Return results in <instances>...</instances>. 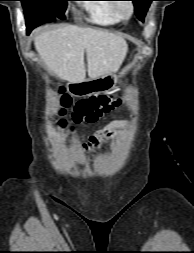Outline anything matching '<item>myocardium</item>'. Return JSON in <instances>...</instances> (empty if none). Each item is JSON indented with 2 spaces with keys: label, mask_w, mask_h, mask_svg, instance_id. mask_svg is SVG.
I'll return each instance as SVG.
<instances>
[{
  "label": "myocardium",
  "mask_w": 194,
  "mask_h": 253,
  "mask_svg": "<svg viewBox=\"0 0 194 253\" xmlns=\"http://www.w3.org/2000/svg\"><path fill=\"white\" fill-rule=\"evenodd\" d=\"M128 3L130 5L129 11H128V13H124L123 10L120 7V2H113V7L115 9L116 14L120 18V20L127 21L134 14V11H135L134 3L132 1H128Z\"/></svg>",
  "instance_id": "f54148a6"
}]
</instances>
